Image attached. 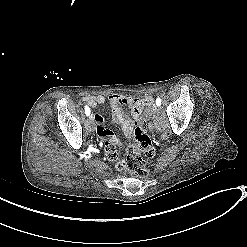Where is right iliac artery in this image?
<instances>
[{
    "label": "right iliac artery",
    "instance_id": "right-iliac-artery-1",
    "mask_svg": "<svg viewBox=\"0 0 247 247\" xmlns=\"http://www.w3.org/2000/svg\"><path fill=\"white\" fill-rule=\"evenodd\" d=\"M85 113L87 116L90 115V108L87 105L85 106Z\"/></svg>",
    "mask_w": 247,
    "mask_h": 247
}]
</instances>
